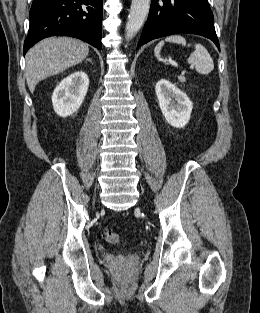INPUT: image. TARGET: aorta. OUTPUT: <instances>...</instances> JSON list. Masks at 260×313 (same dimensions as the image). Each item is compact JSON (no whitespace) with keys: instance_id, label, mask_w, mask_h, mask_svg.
<instances>
[{"instance_id":"762f6f07","label":"aorta","mask_w":260,"mask_h":313,"mask_svg":"<svg viewBox=\"0 0 260 313\" xmlns=\"http://www.w3.org/2000/svg\"><path fill=\"white\" fill-rule=\"evenodd\" d=\"M151 0H132L125 27L126 39H132L141 29L148 16Z\"/></svg>"}]
</instances>
